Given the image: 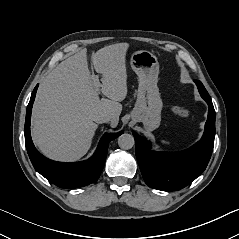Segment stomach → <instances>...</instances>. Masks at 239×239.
Wrapping results in <instances>:
<instances>
[{"label": "stomach", "mask_w": 239, "mask_h": 239, "mask_svg": "<svg viewBox=\"0 0 239 239\" xmlns=\"http://www.w3.org/2000/svg\"><path fill=\"white\" fill-rule=\"evenodd\" d=\"M131 67L139 78L137 101L131 118L135 122H142L145 130L152 131L160 125L163 107L157 87V57L146 50L136 51L131 56Z\"/></svg>", "instance_id": "stomach-1"}]
</instances>
